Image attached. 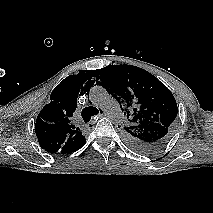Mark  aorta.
<instances>
[{
  "instance_id": "aorta-1",
  "label": "aorta",
  "mask_w": 213,
  "mask_h": 213,
  "mask_svg": "<svg viewBox=\"0 0 213 213\" xmlns=\"http://www.w3.org/2000/svg\"><path fill=\"white\" fill-rule=\"evenodd\" d=\"M91 102L103 109L109 120L116 124H121L124 121V114L118 103L113 99L107 90L101 86H94L90 90Z\"/></svg>"
}]
</instances>
